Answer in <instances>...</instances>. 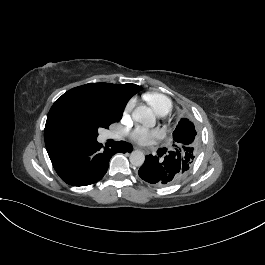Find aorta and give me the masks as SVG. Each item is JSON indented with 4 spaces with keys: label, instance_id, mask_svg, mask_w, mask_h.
<instances>
[{
    "label": "aorta",
    "instance_id": "obj_1",
    "mask_svg": "<svg viewBox=\"0 0 265 265\" xmlns=\"http://www.w3.org/2000/svg\"><path fill=\"white\" fill-rule=\"evenodd\" d=\"M133 119L147 127H152L156 123L155 115L151 108L147 106H138L133 111ZM130 162L133 166H141L145 161V155L142 151L135 150L130 154Z\"/></svg>",
    "mask_w": 265,
    "mask_h": 265
}]
</instances>
